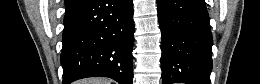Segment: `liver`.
Here are the masks:
<instances>
[{
    "mask_svg": "<svg viewBox=\"0 0 260 84\" xmlns=\"http://www.w3.org/2000/svg\"><path fill=\"white\" fill-rule=\"evenodd\" d=\"M78 84H111V80L106 78H90L78 81Z\"/></svg>",
    "mask_w": 260,
    "mask_h": 84,
    "instance_id": "1",
    "label": "liver"
}]
</instances>
